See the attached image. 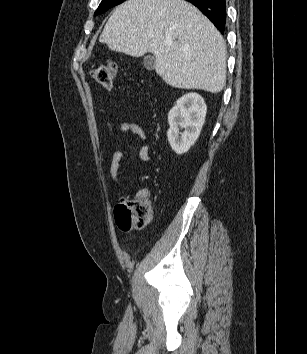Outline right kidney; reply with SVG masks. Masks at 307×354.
<instances>
[{
    "mask_svg": "<svg viewBox=\"0 0 307 354\" xmlns=\"http://www.w3.org/2000/svg\"><path fill=\"white\" fill-rule=\"evenodd\" d=\"M206 110L205 101L199 94L187 93L169 111L167 137L176 154L186 153L195 143L204 124ZM180 128L184 129L183 133H179Z\"/></svg>",
    "mask_w": 307,
    "mask_h": 354,
    "instance_id": "1",
    "label": "right kidney"
}]
</instances>
